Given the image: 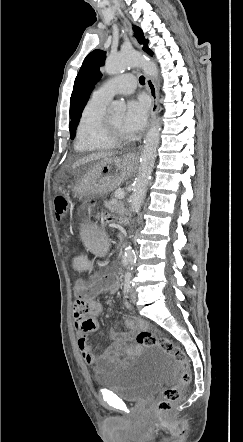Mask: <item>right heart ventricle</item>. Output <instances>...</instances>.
Masks as SVG:
<instances>
[{"label": "right heart ventricle", "instance_id": "e07e8e85", "mask_svg": "<svg viewBox=\"0 0 243 442\" xmlns=\"http://www.w3.org/2000/svg\"><path fill=\"white\" fill-rule=\"evenodd\" d=\"M107 102L92 97L82 110L77 126L75 149L86 153L113 148L102 135V121L105 117Z\"/></svg>", "mask_w": 243, "mask_h": 442}]
</instances>
